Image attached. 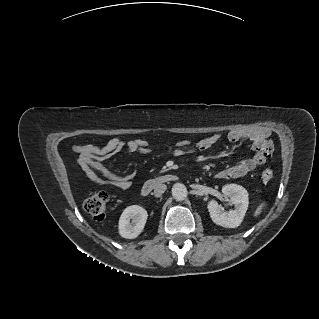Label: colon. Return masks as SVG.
<instances>
[{"mask_svg": "<svg viewBox=\"0 0 319 319\" xmlns=\"http://www.w3.org/2000/svg\"><path fill=\"white\" fill-rule=\"evenodd\" d=\"M259 150L266 156L270 157L273 150L272 142L265 140L262 142ZM261 178L265 182H269L274 178V173L270 169H265L261 173ZM109 196L106 192H97L88 197L83 203V209L94 219L101 220L105 217Z\"/></svg>", "mask_w": 319, "mask_h": 319, "instance_id": "colon-1", "label": "colon"}]
</instances>
